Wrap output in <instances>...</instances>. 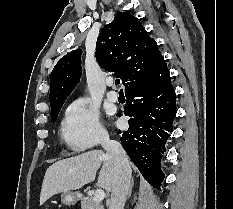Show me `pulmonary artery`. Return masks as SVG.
I'll use <instances>...</instances> for the list:
<instances>
[{
  "label": "pulmonary artery",
  "instance_id": "obj_1",
  "mask_svg": "<svg viewBox=\"0 0 233 209\" xmlns=\"http://www.w3.org/2000/svg\"><path fill=\"white\" fill-rule=\"evenodd\" d=\"M107 85L109 87H112L114 85L113 80H108ZM107 98L112 102H116L118 100L119 96H118V93L116 91L110 90L107 92Z\"/></svg>",
  "mask_w": 233,
  "mask_h": 209
}]
</instances>
